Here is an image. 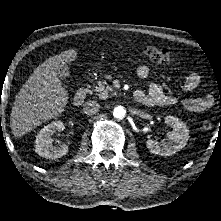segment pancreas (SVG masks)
Segmentation results:
<instances>
[{
  "mask_svg": "<svg viewBox=\"0 0 221 221\" xmlns=\"http://www.w3.org/2000/svg\"><path fill=\"white\" fill-rule=\"evenodd\" d=\"M94 91L96 95L99 96L101 99H106L109 96V93L114 95L113 89L109 86H107V82L105 80L99 81L98 85L94 87Z\"/></svg>",
  "mask_w": 221,
  "mask_h": 221,
  "instance_id": "1",
  "label": "pancreas"
}]
</instances>
